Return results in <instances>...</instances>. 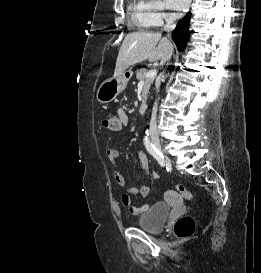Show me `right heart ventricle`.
<instances>
[{"label":"right heart ventricle","mask_w":261,"mask_h":273,"mask_svg":"<svg viewBox=\"0 0 261 273\" xmlns=\"http://www.w3.org/2000/svg\"><path fill=\"white\" fill-rule=\"evenodd\" d=\"M128 12L133 23L136 24L139 28L147 29L150 27L146 17L144 0H130L128 5Z\"/></svg>","instance_id":"e07e8e85"}]
</instances>
